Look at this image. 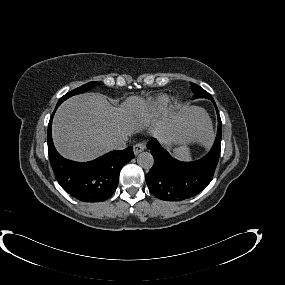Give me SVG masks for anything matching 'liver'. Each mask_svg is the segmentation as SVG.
<instances>
[{
	"label": "liver",
	"instance_id": "1",
	"mask_svg": "<svg viewBox=\"0 0 285 285\" xmlns=\"http://www.w3.org/2000/svg\"><path fill=\"white\" fill-rule=\"evenodd\" d=\"M202 113L201 108L186 105L172 119L154 121L153 135H170L178 144L197 141L209 126L200 124ZM151 122L152 116L140 97H130L116 108L103 95L87 93L61 104L54 116L52 136L63 157L89 161L111 150L109 142L115 137H128Z\"/></svg>",
	"mask_w": 285,
	"mask_h": 285
}]
</instances>
